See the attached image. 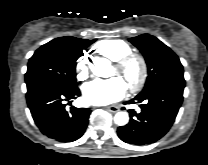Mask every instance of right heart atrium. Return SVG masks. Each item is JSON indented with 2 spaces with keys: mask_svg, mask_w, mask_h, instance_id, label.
<instances>
[{
  "mask_svg": "<svg viewBox=\"0 0 208 165\" xmlns=\"http://www.w3.org/2000/svg\"><path fill=\"white\" fill-rule=\"evenodd\" d=\"M75 71L77 79L80 81L85 80L89 73V60L87 54H82L75 63Z\"/></svg>",
  "mask_w": 208,
  "mask_h": 165,
  "instance_id": "obj_1",
  "label": "right heart atrium"
}]
</instances>
